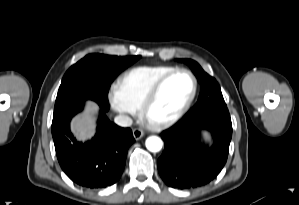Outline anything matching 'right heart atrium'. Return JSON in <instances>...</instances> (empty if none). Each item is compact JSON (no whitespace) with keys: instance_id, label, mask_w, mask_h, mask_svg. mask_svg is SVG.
Segmentation results:
<instances>
[{"instance_id":"1","label":"right heart atrium","mask_w":299,"mask_h":205,"mask_svg":"<svg viewBox=\"0 0 299 205\" xmlns=\"http://www.w3.org/2000/svg\"><path fill=\"white\" fill-rule=\"evenodd\" d=\"M111 109L120 114H132L134 110L128 107L122 100L116 87H113L107 96Z\"/></svg>"}]
</instances>
